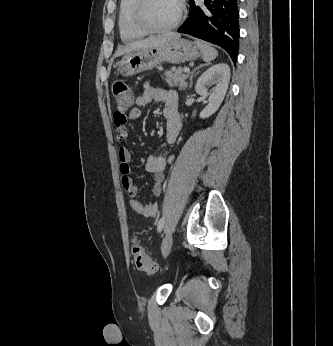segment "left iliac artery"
<instances>
[{
    "label": "left iliac artery",
    "mask_w": 333,
    "mask_h": 346,
    "mask_svg": "<svg viewBox=\"0 0 333 346\" xmlns=\"http://www.w3.org/2000/svg\"><path fill=\"white\" fill-rule=\"evenodd\" d=\"M164 226V219L161 218L159 221H158V224H157V229H158V232H160L162 230Z\"/></svg>",
    "instance_id": "left-iliac-artery-1"
}]
</instances>
